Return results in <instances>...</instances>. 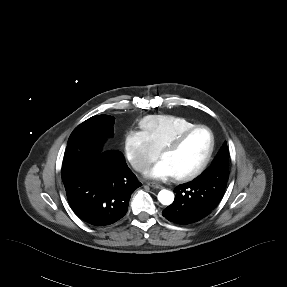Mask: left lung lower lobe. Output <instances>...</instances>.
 I'll return each instance as SVG.
<instances>
[{"mask_svg": "<svg viewBox=\"0 0 287 287\" xmlns=\"http://www.w3.org/2000/svg\"><path fill=\"white\" fill-rule=\"evenodd\" d=\"M209 181L191 182L175 188L174 202L163 210V216L177 224H190L206 217L220 202L228 181V175L214 171Z\"/></svg>", "mask_w": 287, "mask_h": 287, "instance_id": "0a47b994", "label": "left lung lower lobe"}]
</instances>
